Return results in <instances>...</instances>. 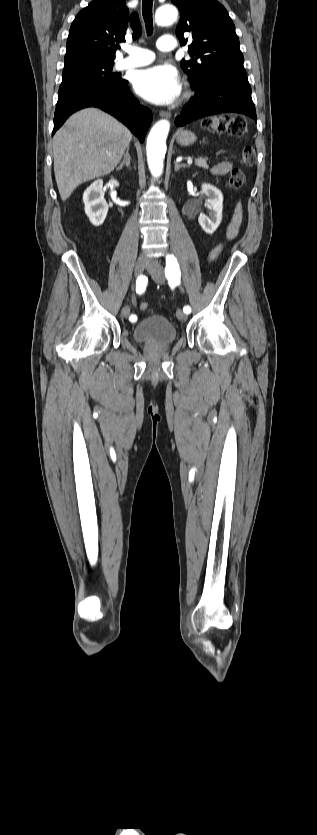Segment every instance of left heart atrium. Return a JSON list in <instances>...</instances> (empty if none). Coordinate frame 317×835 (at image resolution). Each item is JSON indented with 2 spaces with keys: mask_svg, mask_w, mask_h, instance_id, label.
I'll list each match as a JSON object with an SVG mask.
<instances>
[{
  "mask_svg": "<svg viewBox=\"0 0 317 835\" xmlns=\"http://www.w3.org/2000/svg\"><path fill=\"white\" fill-rule=\"evenodd\" d=\"M137 94L155 104H170L181 92V82L175 68L156 65L140 70L134 77Z\"/></svg>",
  "mask_w": 317,
  "mask_h": 835,
  "instance_id": "left-heart-atrium-1",
  "label": "left heart atrium"
}]
</instances>
